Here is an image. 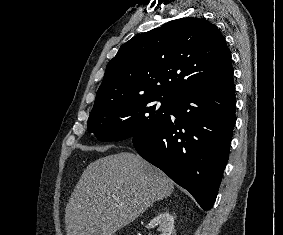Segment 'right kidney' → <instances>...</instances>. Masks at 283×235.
Returning <instances> with one entry per match:
<instances>
[{
	"mask_svg": "<svg viewBox=\"0 0 283 235\" xmlns=\"http://www.w3.org/2000/svg\"><path fill=\"white\" fill-rule=\"evenodd\" d=\"M149 226L151 228L158 227L159 235H171L174 229V218L168 212H164L153 218Z\"/></svg>",
	"mask_w": 283,
	"mask_h": 235,
	"instance_id": "obj_1",
	"label": "right kidney"
}]
</instances>
